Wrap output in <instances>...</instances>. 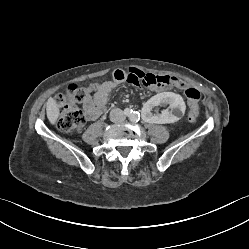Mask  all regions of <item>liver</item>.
<instances>
[{
	"mask_svg": "<svg viewBox=\"0 0 249 249\" xmlns=\"http://www.w3.org/2000/svg\"><path fill=\"white\" fill-rule=\"evenodd\" d=\"M46 113L49 122L54 125L60 115V111L56 101L52 97L47 101Z\"/></svg>",
	"mask_w": 249,
	"mask_h": 249,
	"instance_id": "liver-1",
	"label": "liver"
}]
</instances>
